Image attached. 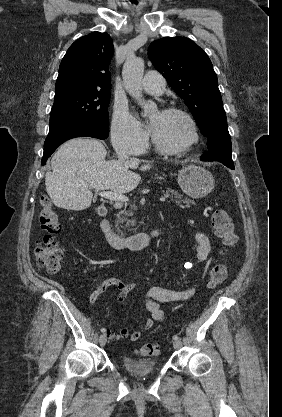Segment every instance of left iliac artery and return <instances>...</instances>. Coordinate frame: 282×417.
Returning <instances> with one entry per match:
<instances>
[{
    "instance_id": "44dca946",
    "label": "left iliac artery",
    "mask_w": 282,
    "mask_h": 417,
    "mask_svg": "<svg viewBox=\"0 0 282 417\" xmlns=\"http://www.w3.org/2000/svg\"><path fill=\"white\" fill-rule=\"evenodd\" d=\"M173 339H174V340H179V336L174 335V336H173Z\"/></svg>"
}]
</instances>
